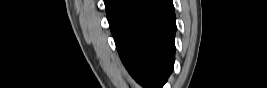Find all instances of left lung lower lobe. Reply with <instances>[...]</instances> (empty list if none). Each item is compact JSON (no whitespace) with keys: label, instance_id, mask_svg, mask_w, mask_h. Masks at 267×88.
<instances>
[{"label":"left lung lower lobe","instance_id":"0a47b994","mask_svg":"<svg viewBox=\"0 0 267 88\" xmlns=\"http://www.w3.org/2000/svg\"><path fill=\"white\" fill-rule=\"evenodd\" d=\"M120 58L142 86L160 88L174 64L176 19L172 0H105Z\"/></svg>","mask_w":267,"mask_h":88}]
</instances>
